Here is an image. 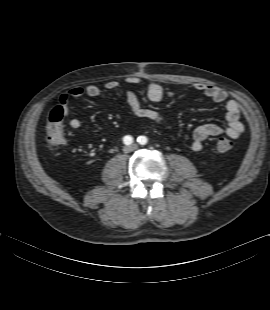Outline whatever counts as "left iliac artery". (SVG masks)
Returning a JSON list of instances; mask_svg holds the SVG:
<instances>
[{
	"mask_svg": "<svg viewBox=\"0 0 270 310\" xmlns=\"http://www.w3.org/2000/svg\"><path fill=\"white\" fill-rule=\"evenodd\" d=\"M137 141L141 144V145H145L147 143V138L145 136H139Z\"/></svg>",
	"mask_w": 270,
	"mask_h": 310,
	"instance_id": "44dca946",
	"label": "left iliac artery"
}]
</instances>
